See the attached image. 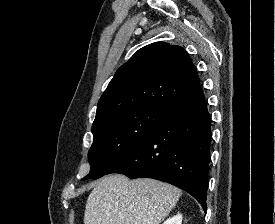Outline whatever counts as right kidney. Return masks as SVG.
Segmentation results:
<instances>
[{"instance_id":"right-kidney-1","label":"right kidney","mask_w":275,"mask_h":224,"mask_svg":"<svg viewBox=\"0 0 275 224\" xmlns=\"http://www.w3.org/2000/svg\"><path fill=\"white\" fill-rule=\"evenodd\" d=\"M163 224H182V215L177 214L176 216L171 217V218L167 219L166 221H164Z\"/></svg>"}]
</instances>
